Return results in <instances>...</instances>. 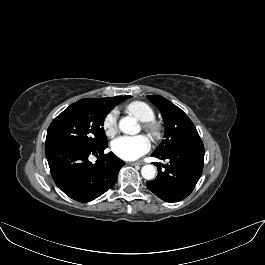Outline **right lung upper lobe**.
Listing matches in <instances>:
<instances>
[{
  "mask_svg": "<svg viewBox=\"0 0 265 265\" xmlns=\"http://www.w3.org/2000/svg\"><path fill=\"white\" fill-rule=\"evenodd\" d=\"M90 99L99 101L113 109L116 105H118L119 103L127 99V96H116V97H107V98H90Z\"/></svg>",
  "mask_w": 265,
  "mask_h": 265,
  "instance_id": "obj_1",
  "label": "right lung upper lobe"
}]
</instances>
